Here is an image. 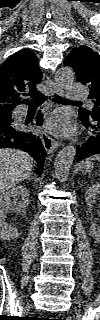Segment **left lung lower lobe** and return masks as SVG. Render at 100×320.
Listing matches in <instances>:
<instances>
[{
	"instance_id": "0a47b994",
	"label": "left lung lower lobe",
	"mask_w": 100,
	"mask_h": 320,
	"mask_svg": "<svg viewBox=\"0 0 100 320\" xmlns=\"http://www.w3.org/2000/svg\"><path fill=\"white\" fill-rule=\"evenodd\" d=\"M79 119L94 135L90 136L82 146L77 147V161H81L92 155L100 154V116L93 118L80 116Z\"/></svg>"
}]
</instances>
